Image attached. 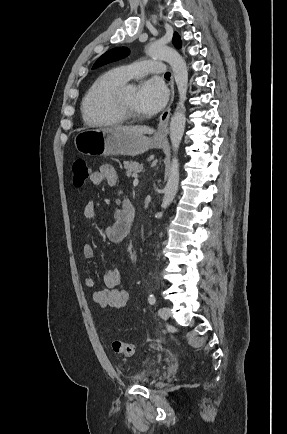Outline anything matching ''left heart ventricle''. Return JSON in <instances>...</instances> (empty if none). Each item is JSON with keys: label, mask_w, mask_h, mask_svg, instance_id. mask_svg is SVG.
Here are the masks:
<instances>
[{"label": "left heart ventricle", "mask_w": 287, "mask_h": 434, "mask_svg": "<svg viewBox=\"0 0 287 434\" xmlns=\"http://www.w3.org/2000/svg\"><path fill=\"white\" fill-rule=\"evenodd\" d=\"M123 100L127 107L136 112V113H142L141 110L137 106L136 102V90L132 87H127L123 91Z\"/></svg>", "instance_id": "b2bd125f"}]
</instances>
